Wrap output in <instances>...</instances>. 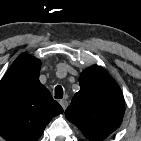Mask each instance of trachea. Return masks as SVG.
Here are the masks:
<instances>
[{"label": "trachea", "mask_w": 141, "mask_h": 141, "mask_svg": "<svg viewBox=\"0 0 141 141\" xmlns=\"http://www.w3.org/2000/svg\"><path fill=\"white\" fill-rule=\"evenodd\" d=\"M55 98L56 99L63 98V88L60 85L55 87Z\"/></svg>", "instance_id": "1"}]
</instances>
